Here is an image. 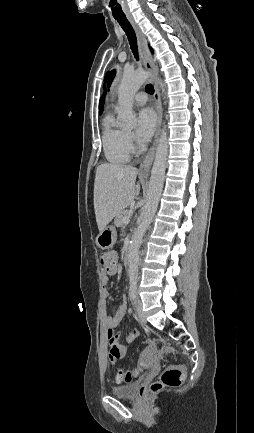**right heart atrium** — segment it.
<instances>
[{
  "label": "right heart atrium",
  "instance_id": "d8ad5b80",
  "mask_svg": "<svg viewBox=\"0 0 254 433\" xmlns=\"http://www.w3.org/2000/svg\"><path fill=\"white\" fill-rule=\"evenodd\" d=\"M126 137L131 150L136 151L140 148V142L133 132L128 131Z\"/></svg>",
  "mask_w": 254,
  "mask_h": 433
}]
</instances>
